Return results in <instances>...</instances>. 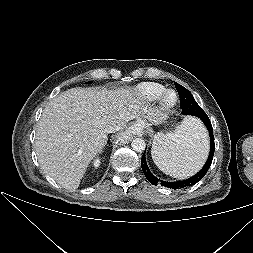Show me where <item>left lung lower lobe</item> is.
Segmentation results:
<instances>
[{"label": "left lung lower lobe", "mask_w": 253, "mask_h": 253, "mask_svg": "<svg viewBox=\"0 0 253 253\" xmlns=\"http://www.w3.org/2000/svg\"><path fill=\"white\" fill-rule=\"evenodd\" d=\"M195 116L199 117L203 121V123L205 124V126L207 127V129L209 131L211 146H210V153H209L206 164L197 174H195L194 176H192L186 180L178 181V182L162 181V180H159L157 177H155L151 173V171L149 170L147 163H146L145 151H144L142 158H141V168L143 170L145 177L147 178V180L151 184H153V185L161 184L162 186H165L170 189H180V188H185V187L192 186V185L196 184L207 173V171L212 163L213 156H214V150H215L214 136H213V131H212L213 129H212L211 122H210L207 114L203 111V109H199L196 112Z\"/></svg>", "instance_id": "left-lung-lower-lobe-1"}]
</instances>
